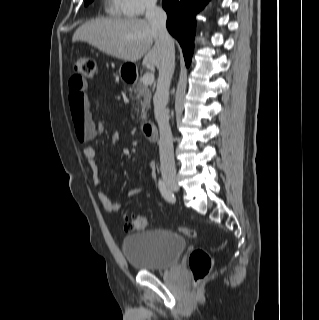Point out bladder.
Here are the masks:
<instances>
[{
	"label": "bladder",
	"mask_w": 319,
	"mask_h": 320,
	"mask_svg": "<svg viewBox=\"0 0 319 320\" xmlns=\"http://www.w3.org/2000/svg\"><path fill=\"white\" fill-rule=\"evenodd\" d=\"M186 239L168 229L148 230L124 238L122 252L127 262L140 271H164L179 261Z\"/></svg>",
	"instance_id": "31cf9c89"
}]
</instances>
